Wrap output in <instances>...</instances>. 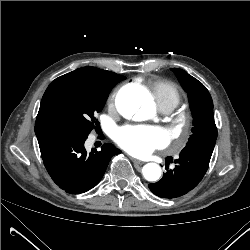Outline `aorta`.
<instances>
[{
	"instance_id": "aorta-1",
	"label": "aorta",
	"mask_w": 250,
	"mask_h": 250,
	"mask_svg": "<svg viewBox=\"0 0 250 250\" xmlns=\"http://www.w3.org/2000/svg\"><path fill=\"white\" fill-rule=\"evenodd\" d=\"M118 111L125 117L136 120H146L154 114V106L150 102L148 90L137 84L123 87L116 100ZM143 176L148 181H156L161 176V168L156 163H148L142 169Z\"/></svg>"
}]
</instances>
